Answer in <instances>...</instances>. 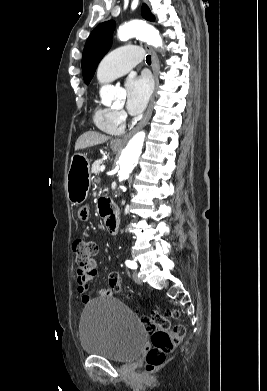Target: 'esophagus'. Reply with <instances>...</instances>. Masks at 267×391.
<instances>
[{
  "mask_svg": "<svg viewBox=\"0 0 267 391\" xmlns=\"http://www.w3.org/2000/svg\"><path fill=\"white\" fill-rule=\"evenodd\" d=\"M145 47L151 53L152 70H153V74H154L155 83H156V86H157V84H158V72H159V60H158V57H157L155 51L152 48H150L147 45ZM153 102H154V96L151 99V102L149 104V107H148V109H147L143 119L137 124V126L130 133H128L127 135H125L124 137H122L120 139L114 140L113 144L115 146H123V145H125L127 143V141L131 138V136L135 132H137L139 129H141L142 127H144L146 125V123L148 122V120L150 119L151 114H152Z\"/></svg>",
  "mask_w": 267,
  "mask_h": 391,
  "instance_id": "esophagus-1",
  "label": "esophagus"
}]
</instances>
